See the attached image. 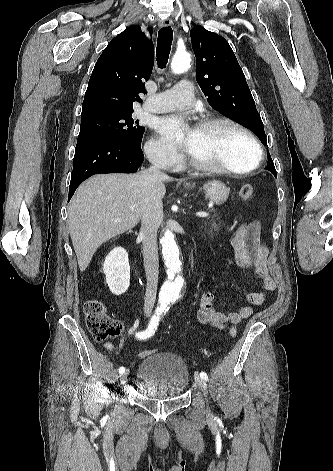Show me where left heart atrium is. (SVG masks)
<instances>
[{
  "instance_id": "obj_1",
  "label": "left heart atrium",
  "mask_w": 333,
  "mask_h": 471,
  "mask_svg": "<svg viewBox=\"0 0 333 471\" xmlns=\"http://www.w3.org/2000/svg\"><path fill=\"white\" fill-rule=\"evenodd\" d=\"M183 124V119L180 117L164 118L158 123V130L162 136L171 144L177 143V135ZM186 148L189 150V145L186 142Z\"/></svg>"
}]
</instances>
